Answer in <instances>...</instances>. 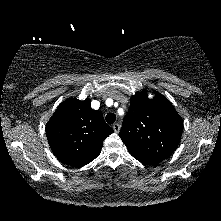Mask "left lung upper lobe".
<instances>
[{
    "label": "left lung upper lobe",
    "mask_w": 221,
    "mask_h": 221,
    "mask_svg": "<svg viewBox=\"0 0 221 221\" xmlns=\"http://www.w3.org/2000/svg\"><path fill=\"white\" fill-rule=\"evenodd\" d=\"M119 136L130 154L148 165L171 156L181 139L183 120L171 102L154 91L149 98L141 91L130 98Z\"/></svg>",
    "instance_id": "1"
}]
</instances>
